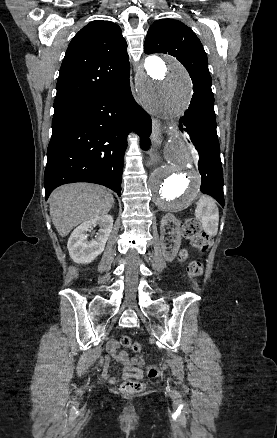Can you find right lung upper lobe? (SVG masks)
<instances>
[{"instance_id":"1","label":"right lung upper lobe","mask_w":277,"mask_h":438,"mask_svg":"<svg viewBox=\"0 0 277 438\" xmlns=\"http://www.w3.org/2000/svg\"><path fill=\"white\" fill-rule=\"evenodd\" d=\"M113 63L109 70L101 65ZM70 64L95 66L92 70H72ZM130 73L127 43L120 27L110 21L96 20L82 28L70 42L57 82L54 112L112 86Z\"/></svg>"}]
</instances>
